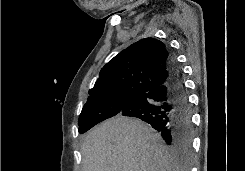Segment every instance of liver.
<instances>
[{
  "mask_svg": "<svg viewBox=\"0 0 245 171\" xmlns=\"http://www.w3.org/2000/svg\"><path fill=\"white\" fill-rule=\"evenodd\" d=\"M81 153L83 171H180L160 135L134 118L119 116L94 127Z\"/></svg>",
  "mask_w": 245,
  "mask_h": 171,
  "instance_id": "obj_1",
  "label": "liver"
}]
</instances>
